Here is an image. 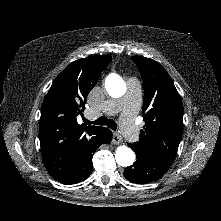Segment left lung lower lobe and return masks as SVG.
Here are the masks:
<instances>
[{
	"mask_svg": "<svg viewBox=\"0 0 221 221\" xmlns=\"http://www.w3.org/2000/svg\"><path fill=\"white\" fill-rule=\"evenodd\" d=\"M128 145L133 150L135 149L134 144L129 143ZM136 156V162L127 167L123 175L128 181L137 184H146L157 180L167 172L174 160V157L150 158Z\"/></svg>",
	"mask_w": 221,
	"mask_h": 221,
	"instance_id": "1",
	"label": "left lung lower lobe"
}]
</instances>
